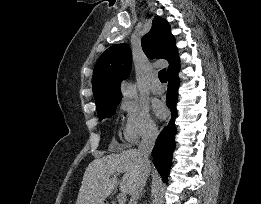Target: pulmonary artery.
<instances>
[{
    "instance_id": "1",
    "label": "pulmonary artery",
    "mask_w": 261,
    "mask_h": 204,
    "mask_svg": "<svg viewBox=\"0 0 261 204\" xmlns=\"http://www.w3.org/2000/svg\"><path fill=\"white\" fill-rule=\"evenodd\" d=\"M151 91L154 94H162L164 92V88L163 86L160 84L158 78L156 76H154L152 78V82H151V86H150Z\"/></svg>"
}]
</instances>
